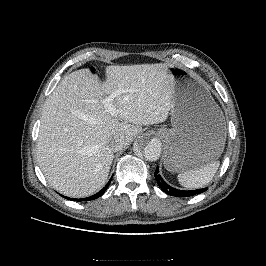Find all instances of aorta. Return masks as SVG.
Returning <instances> with one entry per match:
<instances>
[{
  "instance_id": "aorta-1",
  "label": "aorta",
  "mask_w": 266,
  "mask_h": 266,
  "mask_svg": "<svg viewBox=\"0 0 266 266\" xmlns=\"http://www.w3.org/2000/svg\"><path fill=\"white\" fill-rule=\"evenodd\" d=\"M162 150V144L159 139L150 136L141 137L136 146L135 151L140 152L149 161L159 159Z\"/></svg>"
}]
</instances>
